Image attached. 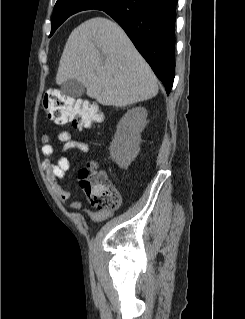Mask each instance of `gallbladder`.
I'll list each match as a JSON object with an SVG mask.
<instances>
[{
	"label": "gallbladder",
	"mask_w": 245,
	"mask_h": 319,
	"mask_svg": "<svg viewBox=\"0 0 245 319\" xmlns=\"http://www.w3.org/2000/svg\"><path fill=\"white\" fill-rule=\"evenodd\" d=\"M61 89L66 96L79 98L85 93V86L77 79H69L62 83Z\"/></svg>",
	"instance_id": "obj_1"
}]
</instances>
